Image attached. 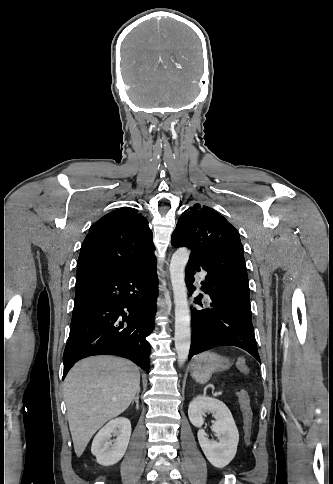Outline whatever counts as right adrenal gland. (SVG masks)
Instances as JSON below:
<instances>
[{"label":"right adrenal gland","mask_w":333,"mask_h":484,"mask_svg":"<svg viewBox=\"0 0 333 484\" xmlns=\"http://www.w3.org/2000/svg\"><path fill=\"white\" fill-rule=\"evenodd\" d=\"M139 392L140 390L136 393V396L132 400V404L135 402L136 403V409L139 410Z\"/></svg>","instance_id":"1"}]
</instances>
